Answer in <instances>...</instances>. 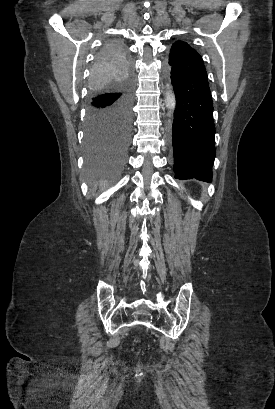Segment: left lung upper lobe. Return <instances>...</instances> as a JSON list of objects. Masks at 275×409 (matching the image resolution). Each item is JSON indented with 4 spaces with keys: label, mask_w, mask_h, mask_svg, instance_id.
Returning a JSON list of instances; mask_svg holds the SVG:
<instances>
[{
    "label": "left lung upper lobe",
    "mask_w": 275,
    "mask_h": 409,
    "mask_svg": "<svg viewBox=\"0 0 275 409\" xmlns=\"http://www.w3.org/2000/svg\"><path fill=\"white\" fill-rule=\"evenodd\" d=\"M171 68L208 81L202 57L186 42L177 41L169 54Z\"/></svg>",
    "instance_id": "5c2ea615"
}]
</instances>
